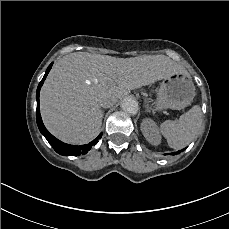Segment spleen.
<instances>
[{
  "mask_svg": "<svg viewBox=\"0 0 229 229\" xmlns=\"http://www.w3.org/2000/svg\"><path fill=\"white\" fill-rule=\"evenodd\" d=\"M201 124V108L196 105L182 114L178 121L163 122L160 132L171 148L181 149L191 143Z\"/></svg>",
  "mask_w": 229,
  "mask_h": 229,
  "instance_id": "1",
  "label": "spleen"
}]
</instances>
